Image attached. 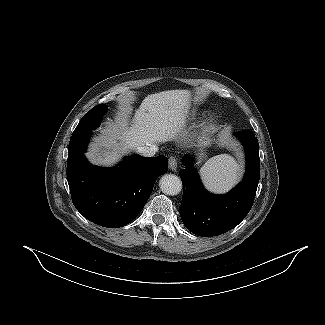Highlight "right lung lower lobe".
<instances>
[{"label": "right lung lower lobe", "mask_w": 325, "mask_h": 325, "mask_svg": "<svg viewBox=\"0 0 325 325\" xmlns=\"http://www.w3.org/2000/svg\"><path fill=\"white\" fill-rule=\"evenodd\" d=\"M91 131L73 132L69 142L67 180L72 202L91 222L108 228L130 223L143 209L156 179L167 172L165 156L134 155L106 169L84 156Z\"/></svg>", "instance_id": "obj_1"}]
</instances>
